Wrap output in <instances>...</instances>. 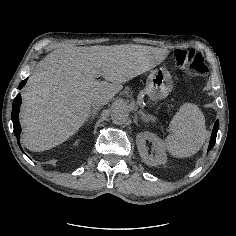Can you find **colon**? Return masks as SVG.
<instances>
[{
  "label": "colon",
  "mask_w": 236,
  "mask_h": 236,
  "mask_svg": "<svg viewBox=\"0 0 236 236\" xmlns=\"http://www.w3.org/2000/svg\"><path fill=\"white\" fill-rule=\"evenodd\" d=\"M174 65L184 70L191 78H203L208 67L203 57L194 48H178L172 53Z\"/></svg>",
  "instance_id": "obj_1"
}]
</instances>
